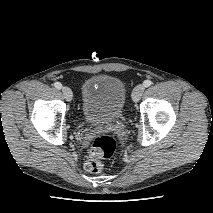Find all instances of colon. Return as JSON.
<instances>
[{
    "instance_id": "1",
    "label": "colon",
    "mask_w": 213,
    "mask_h": 213,
    "mask_svg": "<svg viewBox=\"0 0 213 213\" xmlns=\"http://www.w3.org/2000/svg\"><path fill=\"white\" fill-rule=\"evenodd\" d=\"M117 150V141L114 136L103 134L96 137L84 162V168L89 173H100L103 169V160L111 159Z\"/></svg>"
}]
</instances>
